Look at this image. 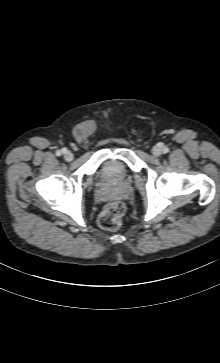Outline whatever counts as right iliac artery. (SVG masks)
<instances>
[{
  "label": "right iliac artery",
  "instance_id": "right-iliac-artery-1",
  "mask_svg": "<svg viewBox=\"0 0 220 363\" xmlns=\"http://www.w3.org/2000/svg\"><path fill=\"white\" fill-rule=\"evenodd\" d=\"M65 151H66V149H65V148H63L61 151H57V152H56V155H57V156H60L62 153H65Z\"/></svg>",
  "mask_w": 220,
  "mask_h": 363
}]
</instances>
